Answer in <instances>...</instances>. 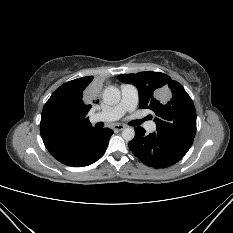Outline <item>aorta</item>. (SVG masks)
Instances as JSON below:
<instances>
[{"mask_svg": "<svg viewBox=\"0 0 233 233\" xmlns=\"http://www.w3.org/2000/svg\"><path fill=\"white\" fill-rule=\"evenodd\" d=\"M121 99L120 90L115 86L107 87L103 92V102L108 105H116ZM135 136V131L133 128L128 127L123 129L122 137L126 141L133 140Z\"/></svg>", "mask_w": 233, "mask_h": 233, "instance_id": "obj_1", "label": "aorta"}]
</instances>
